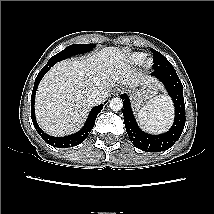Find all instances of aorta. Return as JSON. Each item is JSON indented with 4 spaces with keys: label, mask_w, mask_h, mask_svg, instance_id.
Masks as SVG:
<instances>
[{
    "label": "aorta",
    "mask_w": 214,
    "mask_h": 214,
    "mask_svg": "<svg viewBox=\"0 0 214 214\" xmlns=\"http://www.w3.org/2000/svg\"><path fill=\"white\" fill-rule=\"evenodd\" d=\"M110 108L113 110V111H118L120 109H122L123 107V102H122V99L118 98V97H115V98H112L110 100Z\"/></svg>",
    "instance_id": "1"
}]
</instances>
